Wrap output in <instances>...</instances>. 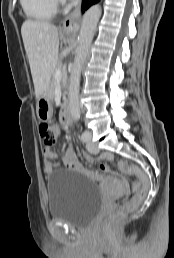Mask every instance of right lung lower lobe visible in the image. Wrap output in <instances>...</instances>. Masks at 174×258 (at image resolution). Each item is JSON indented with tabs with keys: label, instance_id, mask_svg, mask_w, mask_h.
Masks as SVG:
<instances>
[{
	"label": "right lung lower lobe",
	"instance_id": "98d812e1",
	"mask_svg": "<svg viewBox=\"0 0 174 258\" xmlns=\"http://www.w3.org/2000/svg\"><path fill=\"white\" fill-rule=\"evenodd\" d=\"M98 1L99 0H83V6H82L83 11L87 9L89 6H91L92 4L97 3Z\"/></svg>",
	"mask_w": 174,
	"mask_h": 258
}]
</instances>
